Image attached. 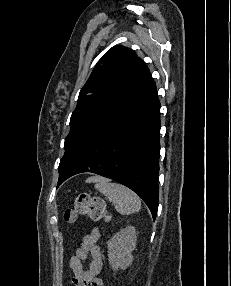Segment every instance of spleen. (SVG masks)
<instances>
[{
    "instance_id": "1",
    "label": "spleen",
    "mask_w": 231,
    "mask_h": 286,
    "mask_svg": "<svg viewBox=\"0 0 231 286\" xmlns=\"http://www.w3.org/2000/svg\"><path fill=\"white\" fill-rule=\"evenodd\" d=\"M96 182L95 188L115 205L116 210L120 214L129 215L140 210L141 200L129 188L102 178Z\"/></svg>"
}]
</instances>
